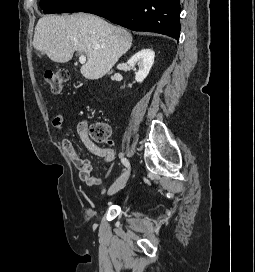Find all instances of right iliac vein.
Instances as JSON below:
<instances>
[{"label": "right iliac vein", "instance_id": "1", "mask_svg": "<svg viewBox=\"0 0 255 272\" xmlns=\"http://www.w3.org/2000/svg\"><path fill=\"white\" fill-rule=\"evenodd\" d=\"M129 178V171L124 172L109 188L108 194L113 195L124 187Z\"/></svg>", "mask_w": 255, "mask_h": 272}]
</instances>
